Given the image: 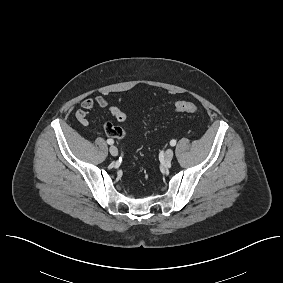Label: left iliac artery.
Wrapping results in <instances>:
<instances>
[{
    "label": "left iliac artery",
    "instance_id": "44dca946",
    "mask_svg": "<svg viewBox=\"0 0 283 283\" xmlns=\"http://www.w3.org/2000/svg\"><path fill=\"white\" fill-rule=\"evenodd\" d=\"M170 145H171V146H175V145H176V140H171V141H170Z\"/></svg>",
    "mask_w": 283,
    "mask_h": 283
}]
</instances>
